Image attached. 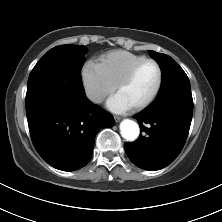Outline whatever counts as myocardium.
<instances>
[{
    "label": "myocardium",
    "instance_id": "obj_1",
    "mask_svg": "<svg viewBox=\"0 0 222 222\" xmlns=\"http://www.w3.org/2000/svg\"><path fill=\"white\" fill-rule=\"evenodd\" d=\"M147 63H152L153 65H155L157 71H158V81L156 84V87L153 91V93L150 95V97L145 100L144 102L133 106V110L135 111H141L147 107H149L157 98L162 84H163V71L161 66L159 65V63L154 60V59H144L138 63H136L135 65H133L128 71L127 73L115 84V90L118 91L121 87L125 86L126 84H128L132 78L134 77V75L136 74V72L145 64Z\"/></svg>",
    "mask_w": 222,
    "mask_h": 222
}]
</instances>
